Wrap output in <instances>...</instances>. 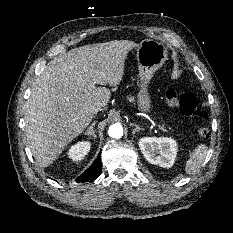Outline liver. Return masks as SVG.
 Instances as JSON below:
<instances>
[{"label":"liver","mask_w":233,"mask_h":233,"mask_svg":"<svg viewBox=\"0 0 233 233\" xmlns=\"http://www.w3.org/2000/svg\"><path fill=\"white\" fill-rule=\"evenodd\" d=\"M138 44L128 40L71 49L36 79L26 105L25 132L34 158L51 164L90 124L95 107L105 108L124 74V62Z\"/></svg>","instance_id":"6515ba94"}]
</instances>
